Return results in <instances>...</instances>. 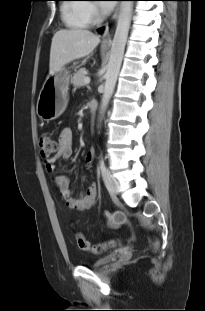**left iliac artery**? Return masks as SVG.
Wrapping results in <instances>:
<instances>
[{
  "instance_id": "left-iliac-artery-1",
  "label": "left iliac artery",
  "mask_w": 205,
  "mask_h": 311,
  "mask_svg": "<svg viewBox=\"0 0 205 311\" xmlns=\"http://www.w3.org/2000/svg\"><path fill=\"white\" fill-rule=\"evenodd\" d=\"M100 170L102 175H104L106 172V166L103 158L100 159Z\"/></svg>"
}]
</instances>
